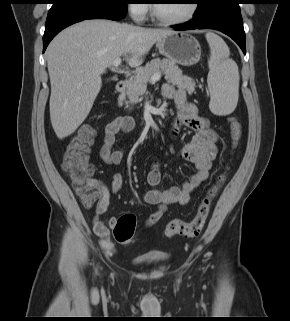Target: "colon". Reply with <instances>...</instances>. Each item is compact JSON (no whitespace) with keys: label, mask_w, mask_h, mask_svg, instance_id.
I'll return each instance as SVG.
<instances>
[{"label":"colon","mask_w":290,"mask_h":321,"mask_svg":"<svg viewBox=\"0 0 290 321\" xmlns=\"http://www.w3.org/2000/svg\"><path fill=\"white\" fill-rule=\"evenodd\" d=\"M231 129V147L237 149L242 138V125L238 118H229ZM94 129L90 124L81 125L72 137L63 157L62 167L67 173L76 193L81 197L86 207H92L99 198L97 188L92 183L94 168L89 162L90 147L93 143ZM226 179V173L220 174L207 189L197 207L191 221L174 219L165 229L168 238L174 236L194 237L201 233L209 215L210 207L220 187ZM136 216L125 214L120 216L113 227L116 241L121 244L129 243L135 233Z\"/></svg>","instance_id":"colon-1"}]
</instances>
